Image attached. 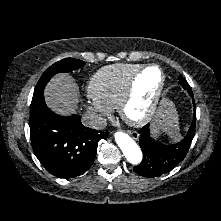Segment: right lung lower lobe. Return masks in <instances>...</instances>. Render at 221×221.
I'll return each mask as SVG.
<instances>
[{
  "label": "right lung lower lobe",
  "mask_w": 221,
  "mask_h": 221,
  "mask_svg": "<svg viewBox=\"0 0 221 221\" xmlns=\"http://www.w3.org/2000/svg\"><path fill=\"white\" fill-rule=\"evenodd\" d=\"M30 137L33 151L52 175L74 178L93 164L98 142L108 133L85 127L77 115L63 117L50 111L43 92L32 99Z\"/></svg>",
  "instance_id": "1"
}]
</instances>
